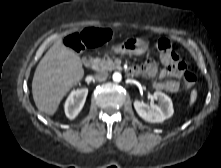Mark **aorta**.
<instances>
[{"label": "aorta", "mask_w": 221, "mask_h": 168, "mask_svg": "<svg viewBox=\"0 0 221 168\" xmlns=\"http://www.w3.org/2000/svg\"><path fill=\"white\" fill-rule=\"evenodd\" d=\"M122 79V75L119 72H115L113 74V81L114 82H120Z\"/></svg>", "instance_id": "762f6f07"}]
</instances>
